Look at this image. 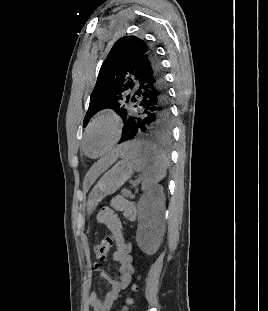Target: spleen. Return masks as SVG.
<instances>
[{"mask_svg": "<svg viewBox=\"0 0 268 311\" xmlns=\"http://www.w3.org/2000/svg\"><path fill=\"white\" fill-rule=\"evenodd\" d=\"M120 150L123 158L134 164L137 172H142V190H148L166 175L167 157L147 140H122Z\"/></svg>", "mask_w": 268, "mask_h": 311, "instance_id": "3e777b00", "label": "spleen"}]
</instances>
